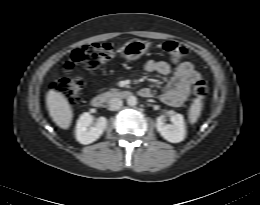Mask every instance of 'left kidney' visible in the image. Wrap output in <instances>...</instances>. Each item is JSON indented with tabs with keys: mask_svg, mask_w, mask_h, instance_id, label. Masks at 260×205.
<instances>
[{
	"mask_svg": "<svg viewBox=\"0 0 260 205\" xmlns=\"http://www.w3.org/2000/svg\"><path fill=\"white\" fill-rule=\"evenodd\" d=\"M170 120L172 125H166L163 116L158 117L156 120L157 131L167 141L179 143L186 136L184 117L181 114H174L170 117Z\"/></svg>",
	"mask_w": 260,
	"mask_h": 205,
	"instance_id": "5707ae66",
	"label": "left kidney"
}]
</instances>
